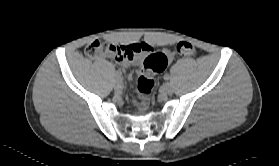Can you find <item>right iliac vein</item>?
<instances>
[{
    "mask_svg": "<svg viewBox=\"0 0 279 166\" xmlns=\"http://www.w3.org/2000/svg\"><path fill=\"white\" fill-rule=\"evenodd\" d=\"M122 80L121 79H117L114 85V89L116 91H121L122 90Z\"/></svg>",
    "mask_w": 279,
    "mask_h": 166,
    "instance_id": "63e3f726",
    "label": "right iliac vein"
}]
</instances>
